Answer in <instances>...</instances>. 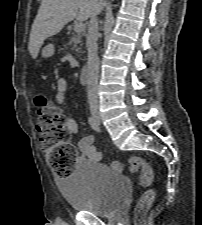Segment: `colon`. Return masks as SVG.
I'll use <instances>...</instances> for the list:
<instances>
[{
    "label": "colon",
    "mask_w": 202,
    "mask_h": 225,
    "mask_svg": "<svg viewBox=\"0 0 202 225\" xmlns=\"http://www.w3.org/2000/svg\"><path fill=\"white\" fill-rule=\"evenodd\" d=\"M42 105L38 109L36 129L48 166L55 175L65 177L72 173L78 157V147L70 142V132L65 127V120L59 109L49 103L46 95H38ZM117 168H121L118 161H113ZM131 174L138 175L139 184L147 189L141 194L136 213H145L156 199V193L150 187L155 176L150 164L142 157L133 156L128 161Z\"/></svg>",
    "instance_id": "1"
}]
</instances>
